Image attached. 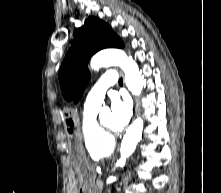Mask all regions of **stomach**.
Segmentation results:
<instances>
[{"label": "stomach", "instance_id": "obj_1", "mask_svg": "<svg viewBox=\"0 0 221 193\" xmlns=\"http://www.w3.org/2000/svg\"><path fill=\"white\" fill-rule=\"evenodd\" d=\"M64 110V117L62 118V126L65 137L67 138V152L73 155L70 159L71 167H76L78 180V189L76 193H95L94 187L95 178V164L85 162L86 147L82 138L84 134L81 133V123L77 110L74 109L73 104H62Z\"/></svg>", "mask_w": 221, "mask_h": 193}]
</instances>
